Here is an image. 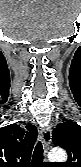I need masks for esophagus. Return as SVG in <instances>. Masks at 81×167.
I'll use <instances>...</instances> for the list:
<instances>
[{"instance_id":"esophagus-1","label":"esophagus","mask_w":81,"mask_h":167,"mask_svg":"<svg viewBox=\"0 0 81 167\" xmlns=\"http://www.w3.org/2000/svg\"><path fill=\"white\" fill-rule=\"evenodd\" d=\"M52 130L50 126L44 127L41 130V139L44 148V154L47 155L51 145Z\"/></svg>"}]
</instances>
